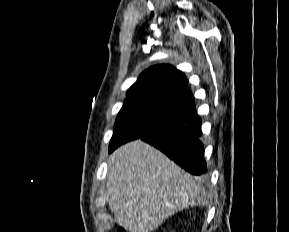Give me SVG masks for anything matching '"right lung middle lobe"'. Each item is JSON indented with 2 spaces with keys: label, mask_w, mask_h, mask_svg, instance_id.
<instances>
[{
  "label": "right lung middle lobe",
  "mask_w": 289,
  "mask_h": 232,
  "mask_svg": "<svg viewBox=\"0 0 289 232\" xmlns=\"http://www.w3.org/2000/svg\"><path fill=\"white\" fill-rule=\"evenodd\" d=\"M184 113L144 101L125 100L118 113L109 152L121 144L131 141L180 118Z\"/></svg>",
  "instance_id": "dd1d6c3e"
}]
</instances>
